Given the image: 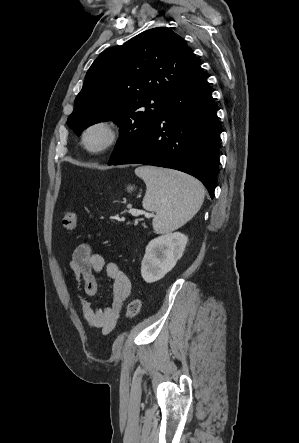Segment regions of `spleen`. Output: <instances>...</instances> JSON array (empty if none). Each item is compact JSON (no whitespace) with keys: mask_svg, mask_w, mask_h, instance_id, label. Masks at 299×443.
I'll use <instances>...</instances> for the list:
<instances>
[{"mask_svg":"<svg viewBox=\"0 0 299 443\" xmlns=\"http://www.w3.org/2000/svg\"><path fill=\"white\" fill-rule=\"evenodd\" d=\"M135 174L147 187L143 208L156 212L153 219L156 233H168L181 227L201 208L204 188L193 177L151 166L138 167Z\"/></svg>","mask_w":299,"mask_h":443,"instance_id":"spleen-1","label":"spleen"}]
</instances>
